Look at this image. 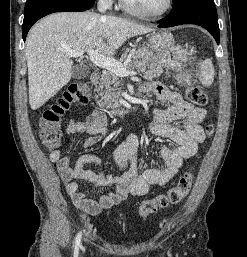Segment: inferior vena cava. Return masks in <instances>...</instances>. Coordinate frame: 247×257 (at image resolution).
I'll return each mask as SVG.
<instances>
[{"label":"inferior vena cava","instance_id":"602c4592","mask_svg":"<svg viewBox=\"0 0 247 257\" xmlns=\"http://www.w3.org/2000/svg\"><path fill=\"white\" fill-rule=\"evenodd\" d=\"M106 9H107V7H106V5H105L104 0H99V3H98V10L103 13V12L106 11Z\"/></svg>","mask_w":247,"mask_h":257}]
</instances>
